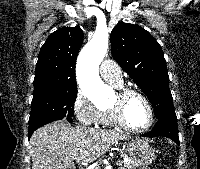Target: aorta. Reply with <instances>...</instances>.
<instances>
[{"label": "aorta", "mask_w": 200, "mask_h": 169, "mask_svg": "<svg viewBox=\"0 0 200 169\" xmlns=\"http://www.w3.org/2000/svg\"><path fill=\"white\" fill-rule=\"evenodd\" d=\"M107 50V37L95 34L81 50L78 57L77 78L79 86L93 102L106 99L110 93V88L101 80L98 71Z\"/></svg>", "instance_id": "obj_1"}]
</instances>
